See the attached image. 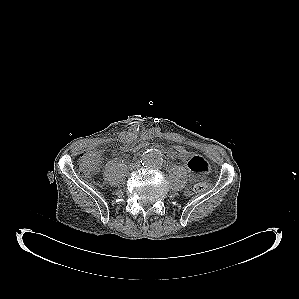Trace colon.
Here are the masks:
<instances>
[{
	"instance_id": "obj_1",
	"label": "colon",
	"mask_w": 299,
	"mask_h": 299,
	"mask_svg": "<svg viewBox=\"0 0 299 299\" xmlns=\"http://www.w3.org/2000/svg\"><path fill=\"white\" fill-rule=\"evenodd\" d=\"M139 150H142L143 148L148 146V143L144 142L137 145ZM172 150L176 153V155L180 158L181 161H183L185 164L190 160L191 158V152L187 150L182 145H174L171 146ZM98 165V154L94 151H87L83 152L79 155L78 161H77V169L79 173L85 176L92 175L97 170ZM211 184L209 181H202L194 186V190L197 193L205 192L210 188Z\"/></svg>"
}]
</instances>
